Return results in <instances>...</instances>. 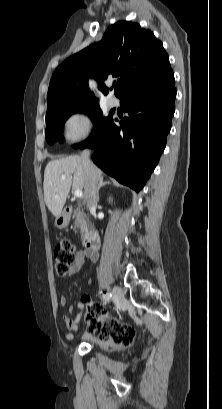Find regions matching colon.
I'll return each instance as SVG.
<instances>
[{
    "mask_svg": "<svg viewBox=\"0 0 222 409\" xmlns=\"http://www.w3.org/2000/svg\"><path fill=\"white\" fill-rule=\"evenodd\" d=\"M75 260V247L68 240H61L54 250V269L58 277L66 276ZM105 310L98 304L88 306L87 320L89 330L97 339H113L118 344L126 345L133 341L134 329L115 319H107Z\"/></svg>",
    "mask_w": 222,
    "mask_h": 409,
    "instance_id": "1",
    "label": "colon"
}]
</instances>
